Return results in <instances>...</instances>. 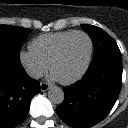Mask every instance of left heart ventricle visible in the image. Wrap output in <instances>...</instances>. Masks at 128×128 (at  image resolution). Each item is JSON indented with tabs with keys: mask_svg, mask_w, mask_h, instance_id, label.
<instances>
[{
	"mask_svg": "<svg viewBox=\"0 0 128 128\" xmlns=\"http://www.w3.org/2000/svg\"><path fill=\"white\" fill-rule=\"evenodd\" d=\"M89 51V43L85 36L75 35L66 44L60 60L53 68L57 79H69L83 67Z\"/></svg>",
	"mask_w": 128,
	"mask_h": 128,
	"instance_id": "b2bd125f",
	"label": "left heart ventricle"
}]
</instances>
